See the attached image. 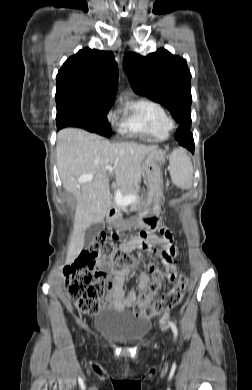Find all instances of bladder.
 <instances>
[{"mask_svg":"<svg viewBox=\"0 0 252 390\" xmlns=\"http://www.w3.org/2000/svg\"><path fill=\"white\" fill-rule=\"evenodd\" d=\"M96 331L103 337L122 344H134L149 330L147 321L121 312H108L97 318Z\"/></svg>","mask_w":252,"mask_h":390,"instance_id":"obj_1","label":"bladder"}]
</instances>
